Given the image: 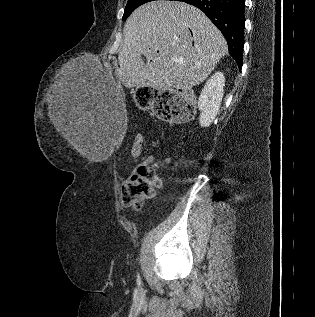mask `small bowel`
<instances>
[{
  "label": "small bowel",
  "instance_id": "small-bowel-1",
  "mask_svg": "<svg viewBox=\"0 0 315 317\" xmlns=\"http://www.w3.org/2000/svg\"><path fill=\"white\" fill-rule=\"evenodd\" d=\"M155 156L154 155H149L148 157H146L141 163H139L137 166H135L131 173L134 172L138 167L140 166H146V165H150L152 164L153 162H155Z\"/></svg>",
  "mask_w": 315,
  "mask_h": 317
}]
</instances>
